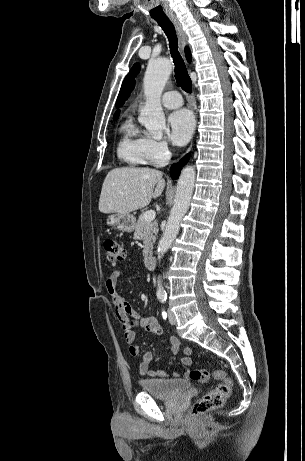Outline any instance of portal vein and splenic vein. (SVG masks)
I'll return each mask as SVG.
<instances>
[{"label": "portal vein and splenic vein", "instance_id": "18ae733b", "mask_svg": "<svg viewBox=\"0 0 305 461\" xmlns=\"http://www.w3.org/2000/svg\"><path fill=\"white\" fill-rule=\"evenodd\" d=\"M156 213L154 210H149L144 213V219L148 222H151L155 219Z\"/></svg>", "mask_w": 305, "mask_h": 461}]
</instances>
